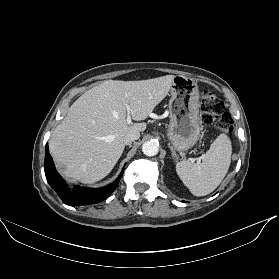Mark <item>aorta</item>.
<instances>
[{"instance_id":"762f6f07","label":"aorta","mask_w":279,"mask_h":279,"mask_svg":"<svg viewBox=\"0 0 279 279\" xmlns=\"http://www.w3.org/2000/svg\"><path fill=\"white\" fill-rule=\"evenodd\" d=\"M142 152L146 156H155L159 152V145L157 142L152 141V140L146 141L142 145Z\"/></svg>"}]
</instances>
